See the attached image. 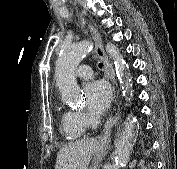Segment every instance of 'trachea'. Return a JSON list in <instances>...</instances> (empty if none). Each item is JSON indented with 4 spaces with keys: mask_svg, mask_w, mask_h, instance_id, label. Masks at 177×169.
Wrapping results in <instances>:
<instances>
[{
    "mask_svg": "<svg viewBox=\"0 0 177 169\" xmlns=\"http://www.w3.org/2000/svg\"><path fill=\"white\" fill-rule=\"evenodd\" d=\"M98 66H99V68H102V67H103V64H102V63H99Z\"/></svg>",
    "mask_w": 177,
    "mask_h": 169,
    "instance_id": "obj_1",
    "label": "trachea"
}]
</instances>
